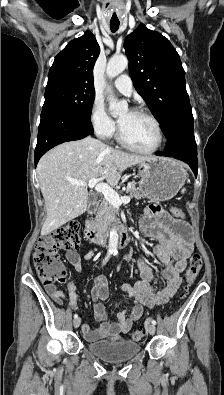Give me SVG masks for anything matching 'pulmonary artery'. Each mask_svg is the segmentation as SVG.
<instances>
[{"mask_svg": "<svg viewBox=\"0 0 224 395\" xmlns=\"http://www.w3.org/2000/svg\"><path fill=\"white\" fill-rule=\"evenodd\" d=\"M116 89L123 95L130 96L133 92V85L128 75H120L114 80Z\"/></svg>", "mask_w": 224, "mask_h": 395, "instance_id": "1", "label": "pulmonary artery"}]
</instances>
